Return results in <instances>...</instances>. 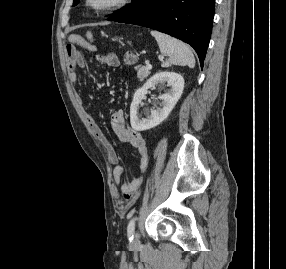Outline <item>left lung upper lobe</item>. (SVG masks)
I'll return each instance as SVG.
<instances>
[{
    "label": "left lung upper lobe",
    "mask_w": 286,
    "mask_h": 269,
    "mask_svg": "<svg viewBox=\"0 0 286 269\" xmlns=\"http://www.w3.org/2000/svg\"><path fill=\"white\" fill-rule=\"evenodd\" d=\"M132 1L133 4L131 6H126L120 10L115 11L116 14L112 17H109L108 20L118 21L120 19L132 15L133 13L142 9L146 5L148 0H132ZM78 2L79 0H74L73 5H76Z\"/></svg>",
    "instance_id": "left-lung-upper-lobe-1"
}]
</instances>
